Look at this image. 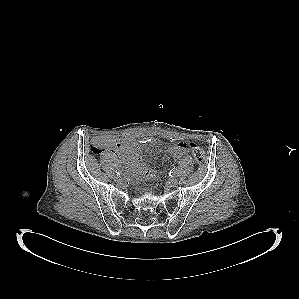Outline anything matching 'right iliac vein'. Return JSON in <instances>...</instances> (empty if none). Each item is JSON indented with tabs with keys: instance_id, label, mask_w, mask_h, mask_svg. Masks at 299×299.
Masks as SVG:
<instances>
[{
	"instance_id": "63e3f726",
	"label": "right iliac vein",
	"mask_w": 299,
	"mask_h": 299,
	"mask_svg": "<svg viewBox=\"0 0 299 299\" xmlns=\"http://www.w3.org/2000/svg\"><path fill=\"white\" fill-rule=\"evenodd\" d=\"M114 180H115L116 182L120 183V182H122L123 179H122L121 176H118V175H117V176L114 177Z\"/></svg>"
}]
</instances>
